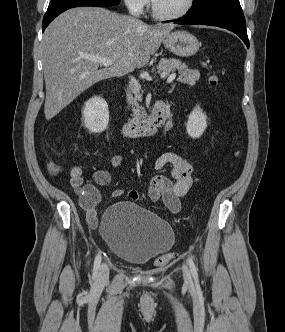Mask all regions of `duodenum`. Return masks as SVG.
Instances as JSON below:
<instances>
[{"label":"duodenum","instance_id":"obj_1","mask_svg":"<svg viewBox=\"0 0 285 332\" xmlns=\"http://www.w3.org/2000/svg\"><path fill=\"white\" fill-rule=\"evenodd\" d=\"M169 121V112L163 101H157L151 115L140 122H128L122 126V134L130 138L151 136Z\"/></svg>","mask_w":285,"mask_h":332}]
</instances>
